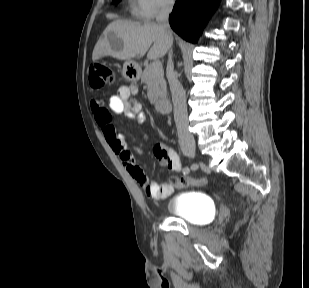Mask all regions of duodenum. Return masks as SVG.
Listing matches in <instances>:
<instances>
[{
    "mask_svg": "<svg viewBox=\"0 0 309 288\" xmlns=\"http://www.w3.org/2000/svg\"><path fill=\"white\" fill-rule=\"evenodd\" d=\"M171 103L168 99H161L158 101V109L161 113L166 114L170 111Z\"/></svg>",
    "mask_w": 309,
    "mask_h": 288,
    "instance_id": "duodenum-1",
    "label": "duodenum"
}]
</instances>
